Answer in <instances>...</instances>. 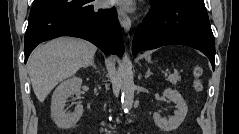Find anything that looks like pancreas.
Wrapping results in <instances>:
<instances>
[{
  "mask_svg": "<svg viewBox=\"0 0 239 134\" xmlns=\"http://www.w3.org/2000/svg\"><path fill=\"white\" fill-rule=\"evenodd\" d=\"M180 80L181 78L179 74H172L168 77V81L173 85H176L178 82H180Z\"/></svg>",
  "mask_w": 239,
  "mask_h": 134,
  "instance_id": "cf45deb5",
  "label": "pancreas"
}]
</instances>
